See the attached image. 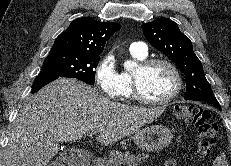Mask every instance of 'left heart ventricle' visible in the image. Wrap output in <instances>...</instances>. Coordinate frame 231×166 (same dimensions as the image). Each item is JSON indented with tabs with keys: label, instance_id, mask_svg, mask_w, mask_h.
<instances>
[{
	"label": "left heart ventricle",
	"instance_id": "1",
	"mask_svg": "<svg viewBox=\"0 0 231 166\" xmlns=\"http://www.w3.org/2000/svg\"><path fill=\"white\" fill-rule=\"evenodd\" d=\"M142 94L153 100L166 98L174 89L175 80L170 69L164 65H154L144 71H137Z\"/></svg>",
	"mask_w": 231,
	"mask_h": 166
}]
</instances>
